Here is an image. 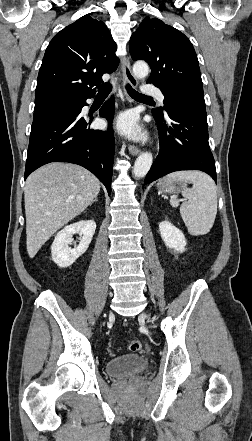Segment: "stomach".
Returning <instances> with one entry per match:
<instances>
[{"mask_svg": "<svg viewBox=\"0 0 252 441\" xmlns=\"http://www.w3.org/2000/svg\"><path fill=\"white\" fill-rule=\"evenodd\" d=\"M157 187L160 193L175 194L186 188V182L180 180L167 182L166 179H162L158 182Z\"/></svg>", "mask_w": 252, "mask_h": 441, "instance_id": "0dacf381", "label": "stomach"}]
</instances>
